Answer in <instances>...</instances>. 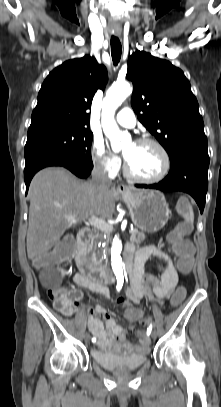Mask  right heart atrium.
<instances>
[{"mask_svg":"<svg viewBox=\"0 0 221 407\" xmlns=\"http://www.w3.org/2000/svg\"><path fill=\"white\" fill-rule=\"evenodd\" d=\"M91 154L92 162L99 171L109 176H113L119 171L120 158L109 152L102 140H94Z\"/></svg>","mask_w":221,"mask_h":407,"instance_id":"d8ad5b80","label":"right heart atrium"}]
</instances>
